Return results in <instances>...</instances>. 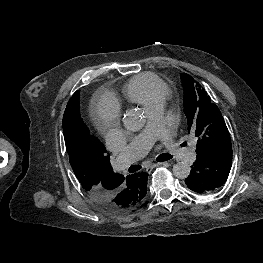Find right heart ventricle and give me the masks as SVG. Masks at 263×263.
Returning <instances> with one entry per match:
<instances>
[{
	"label": "right heart ventricle",
	"mask_w": 263,
	"mask_h": 263,
	"mask_svg": "<svg viewBox=\"0 0 263 263\" xmlns=\"http://www.w3.org/2000/svg\"><path fill=\"white\" fill-rule=\"evenodd\" d=\"M123 93L128 101L140 104L148 110L155 104L163 102L169 89L155 74L144 73L129 79L123 88Z\"/></svg>",
	"instance_id": "right-heart-ventricle-1"
}]
</instances>
